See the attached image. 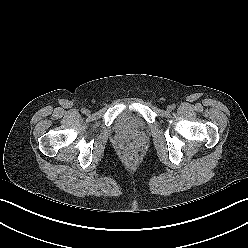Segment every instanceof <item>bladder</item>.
Here are the masks:
<instances>
[{
	"mask_svg": "<svg viewBox=\"0 0 248 248\" xmlns=\"http://www.w3.org/2000/svg\"><path fill=\"white\" fill-rule=\"evenodd\" d=\"M117 128L123 133H135L140 130L141 123L134 115L125 113L119 117Z\"/></svg>",
	"mask_w": 248,
	"mask_h": 248,
	"instance_id": "obj_1",
	"label": "bladder"
}]
</instances>
